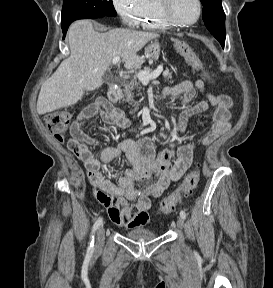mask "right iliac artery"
Here are the masks:
<instances>
[{
	"label": "right iliac artery",
	"mask_w": 273,
	"mask_h": 288,
	"mask_svg": "<svg viewBox=\"0 0 273 288\" xmlns=\"http://www.w3.org/2000/svg\"><path fill=\"white\" fill-rule=\"evenodd\" d=\"M102 224V218H98L97 221L94 223L93 228H92V236H91V241L87 249V254L92 255L94 251V233L97 231L99 226Z\"/></svg>",
	"instance_id": "right-iliac-artery-1"
}]
</instances>
